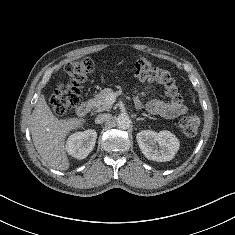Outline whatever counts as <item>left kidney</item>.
Returning a JSON list of instances; mask_svg holds the SVG:
<instances>
[{"instance_id": "obj_1", "label": "left kidney", "mask_w": 235, "mask_h": 235, "mask_svg": "<svg viewBox=\"0 0 235 235\" xmlns=\"http://www.w3.org/2000/svg\"><path fill=\"white\" fill-rule=\"evenodd\" d=\"M136 139L144 156L157 162L170 161L179 149L176 136L166 130L159 133L143 130L137 134Z\"/></svg>"}]
</instances>
